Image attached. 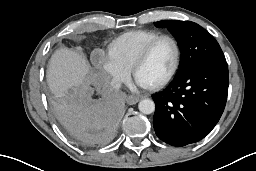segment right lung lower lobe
Here are the masks:
<instances>
[{
	"label": "right lung lower lobe",
	"mask_w": 256,
	"mask_h": 171,
	"mask_svg": "<svg viewBox=\"0 0 256 171\" xmlns=\"http://www.w3.org/2000/svg\"><path fill=\"white\" fill-rule=\"evenodd\" d=\"M123 94L104 87L97 94L72 97L57 109L65 130L90 145L108 143L115 135L123 110Z\"/></svg>",
	"instance_id": "right-lung-lower-lobe-1"
}]
</instances>
